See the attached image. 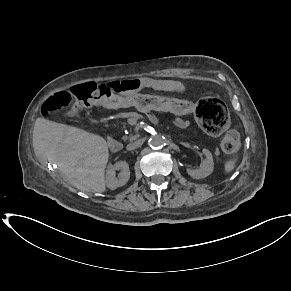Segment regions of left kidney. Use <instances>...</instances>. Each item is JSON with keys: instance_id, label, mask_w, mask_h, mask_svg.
<instances>
[{"instance_id": "obj_1", "label": "left kidney", "mask_w": 291, "mask_h": 291, "mask_svg": "<svg viewBox=\"0 0 291 291\" xmlns=\"http://www.w3.org/2000/svg\"><path fill=\"white\" fill-rule=\"evenodd\" d=\"M202 152L206 156V159L200 164V168H187L186 170L188 175H190L194 179L205 178L213 172L214 162L211 152L207 149H203Z\"/></svg>"}]
</instances>
